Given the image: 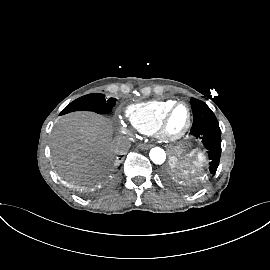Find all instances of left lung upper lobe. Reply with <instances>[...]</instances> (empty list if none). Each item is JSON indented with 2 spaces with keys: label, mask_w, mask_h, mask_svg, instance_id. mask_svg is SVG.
<instances>
[{
  "label": "left lung upper lobe",
  "mask_w": 270,
  "mask_h": 270,
  "mask_svg": "<svg viewBox=\"0 0 270 270\" xmlns=\"http://www.w3.org/2000/svg\"><path fill=\"white\" fill-rule=\"evenodd\" d=\"M193 125L191 129L198 128L204 124L218 123L214 113L202 101L192 98Z\"/></svg>",
  "instance_id": "obj_1"
}]
</instances>
